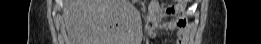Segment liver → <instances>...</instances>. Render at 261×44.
I'll use <instances>...</instances> for the list:
<instances>
[{"label":"liver","instance_id":"1","mask_svg":"<svg viewBox=\"0 0 261 44\" xmlns=\"http://www.w3.org/2000/svg\"><path fill=\"white\" fill-rule=\"evenodd\" d=\"M128 0H65L63 16L73 44H138L140 24ZM137 40V41H123Z\"/></svg>","mask_w":261,"mask_h":44}]
</instances>
